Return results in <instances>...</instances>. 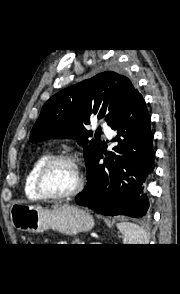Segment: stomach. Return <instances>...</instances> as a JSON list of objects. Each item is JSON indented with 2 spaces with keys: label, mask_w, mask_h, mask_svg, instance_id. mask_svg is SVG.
Instances as JSON below:
<instances>
[{
  "label": "stomach",
  "mask_w": 180,
  "mask_h": 294,
  "mask_svg": "<svg viewBox=\"0 0 180 294\" xmlns=\"http://www.w3.org/2000/svg\"><path fill=\"white\" fill-rule=\"evenodd\" d=\"M10 216L15 228L30 233H43L52 228L66 235H76L89 231L94 225L88 211L71 205L47 209L39 205L14 204Z\"/></svg>",
  "instance_id": "1"
}]
</instances>
